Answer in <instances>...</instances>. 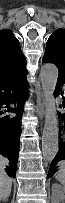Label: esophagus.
Listing matches in <instances>:
<instances>
[{"instance_id":"34e87169","label":"esophagus","mask_w":65,"mask_h":203,"mask_svg":"<svg viewBox=\"0 0 65 203\" xmlns=\"http://www.w3.org/2000/svg\"><path fill=\"white\" fill-rule=\"evenodd\" d=\"M38 116L43 118L44 116V94L42 93V103L40 104L39 109L37 110Z\"/></svg>"}]
</instances>
